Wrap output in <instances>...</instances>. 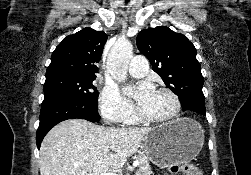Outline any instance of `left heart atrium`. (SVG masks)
Here are the masks:
<instances>
[{
  "label": "left heart atrium",
  "mask_w": 251,
  "mask_h": 175,
  "mask_svg": "<svg viewBox=\"0 0 251 175\" xmlns=\"http://www.w3.org/2000/svg\"><path fill=\"white\" fill-rule=\"evenodd\" d=\"M124 93L129 95L131 93V87H125ZM154 93L155 89L151 83L148 82L143 83L140 86L138 93L136 95V100L138 102V105L140 107L147 105L151 101Z\"/></svg>",
  "instance_id": "39dd6f15"
}]
</instances>
